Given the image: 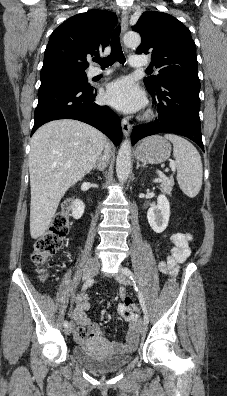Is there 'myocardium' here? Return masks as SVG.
<instances>
[{
	"label": "myocardium",
	"mask_w": 227,
	"mask_h": 396,
	"mask_svg": "<svg viewBox=\"0 0 227 396\" xmlns=\"http://www.w3.org/2000/svg\"><path fill=\"white\" fill-rule=\"evenodd\" d=\"M153 112L151 110H149L148 112H146V114L144 115L145 118H150L152 117Z\"/></svg>",
	"instance_id": "f54148a6"
}]
</instances>
